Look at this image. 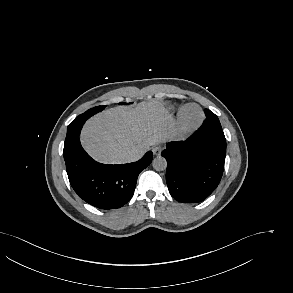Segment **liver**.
I'll return each mask as SVG.
<instances>
[{
  "instance_id": "1",
  "label": "liver",
  "mask_w": 293,
  "mask_h": 293,
  "mask_svg": "<svg viewBox=\"0 0 293 293\" xmlns=\"http://www.w3.org/2000/svg\"><path fill=\"white\" fill-rule=\"evenodd\" d=\"M174 119L157 101L140 102L134 109L119 106L86 121L81 142L97 161L127 163L128 154L164 143L173 135Z\"/></svg>"
}]
</instances>
